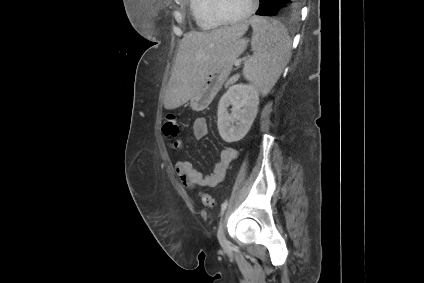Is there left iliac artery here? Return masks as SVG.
Listing matches in <instances>:
<instances>
[{"label":"left iliac artery","instance_id":"obj_1","mask_svg":"<svg viewBox=\"0 0 424 283\" xmlns=\"http://www.w3.org/2000/svg\"><path fill=\"white\" fill-rule=\"evenodd\" d=\"M227 205H228V200H225L223 203H222V205H221V214H223L224 213V211L226 210V208H227Z\"/></svg>","mask_w":424,"mask_h":283}]
</instances>
